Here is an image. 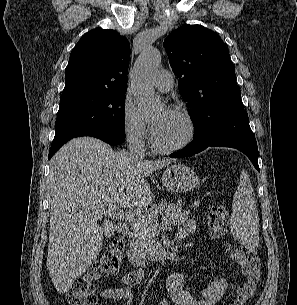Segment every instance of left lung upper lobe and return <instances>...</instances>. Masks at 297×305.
<instances>
[{
  "instance_id": "1",
  "label": "left lung upper lobe",
  "mask_w": 297,
  "mask_h": 305,
  "mask_svg": "<svg viewBox=\"0 0 297 305\" xmlns=\"http://www.w3.org/2000/svg\"><path fill=\"white\" fill-rule=\"evenodd\" d=\"M164 47L195 126L194 139L244 111L234 65L216 33L201 25H185L168 35Z\"/></svg>"
}]
</instances>
